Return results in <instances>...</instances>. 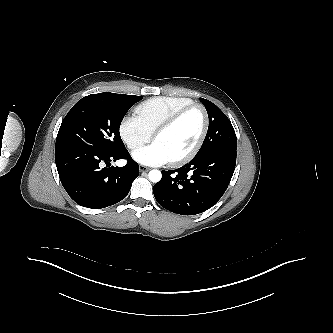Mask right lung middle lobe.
Masks as SVG:
<instances>
[{"label":"right lung middle lobe","mask_w":333,"mask_h":333,"mask_svg":"<svg viewBox=\"0 0 333 333\" xmlns=\"http://www.w3.org/2000/svg\"><path fill=\"white\" fill-rule=\"evenodd\" d=\"M142 98L115 93L83 97L62 121L56 145H78L108 154L124 149L120 124L130 107Z\"/></svg>","instance_id":"right-lung-middle-lobe-1"}]
</instances>
